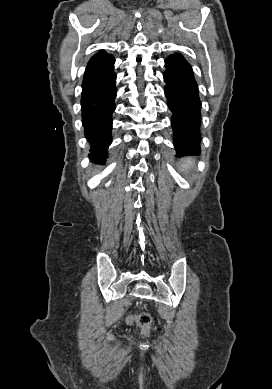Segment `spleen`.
Returning a JSON list of instances; mask_svg holds the SVG:
<instances>
[{"label":"spleen","mask_w":272,"mask_h":389,"mask_svg":"<svg viewBox=\"0 0 272 389\" xmlns=\"http://www.w3.org/2000/svg\"><path fill=\"white\" fill-rule=\"evenodd\" d=\"M193 164V162L191 160H187L185 163H184V167L187 168L189 166H191Z\"/></svg>","instance_id":"spleen-1"}]
</instances>
